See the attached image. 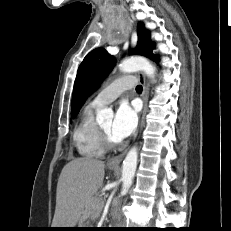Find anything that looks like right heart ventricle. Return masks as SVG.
I'll use <instances>...</instances> for the list:
<instances>
[{"label":"right heart ventricle","mask_w":231,"mask_h":231,"mask_svg":"<svg viewBox=\"0 0 231 231\" xmlns=\"http://www.w3.org/2000/svg\"><path fill=\"white\" fill-rule=\"evenodd\" d=\"M97 107L88 105L73 132V143L77 152L84 158H98L104 155L105 149L101 144L98 125L94 119Z\"/></svg>","instance_id":"1"}]
</instances>
